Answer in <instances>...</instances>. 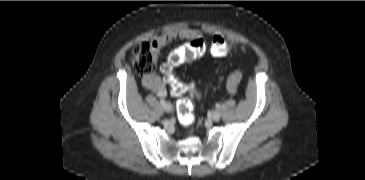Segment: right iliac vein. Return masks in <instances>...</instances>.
Segmentation results:
<instances>
[{
	"mask_svg": "<svg viewBox=\"0 0 365 180\" xmlns=\"http://www.w3.org/2000/svg\"><path fill=\"white\" fill-rule=\"evenodd\" d=\"M163 108H164V110L166 111V112H171V110H172V105L170 104V103H165L164 105H163Z\"/></svg>",
	"mask_w": 365,
	"mask_h": 180,
	"instance_id": "right-iliac-vein-1",
	"label": "right iliac vein"
}]
</instances>
